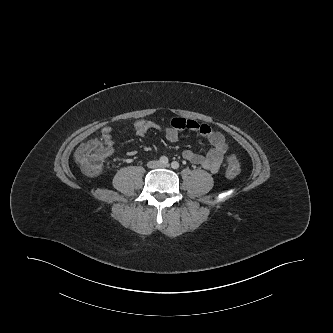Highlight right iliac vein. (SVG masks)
<instances>
[{
    "instance_id": "63e3f726",
    "label": "right iliac vein",
    "mask_w": 333,
    "mask_h": 333,
    "mask_svg": "<svg viewBox=\"0 0 333 333\" xmlns=\"http://www.w3.org/2000/svg\"><path fill=\"white\" fill-rule=\"evenodd\" d=\"M160 166V164L158 163V162H153L152 163V167L153 168H157V167H159Z\"/></svg>"
}]
</instances>
